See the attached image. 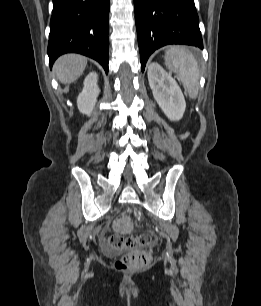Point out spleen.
Instances as JSON below:
<instances>
[{
	"mask_svg": "<svg viewBox=\"0 0 261 306\" xmlns=\"http://www.w3.org/2000/svg\"><path fill=\"white\" fill-rule=\"evenodd\" d=\"M165 65L175 72L191 98H196L199 88V66L194 55L185 47L173 46L165 55Z\"/></svg>",
	"mask_w": 261,
	"mask_h": 306,
	"instance_id": "spleen-1",
	"label": "spleen"
}]
</instances>
